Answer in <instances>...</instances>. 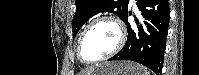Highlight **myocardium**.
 Wrapping results in <instances>:
<instances>
[{
    "mask_svg": "<svg viewBox=\"0 0 199 75\" xmlns=\"http://www.w3.org/2000/svg\"><path fill=\"white\" fill-rule=\"evenodd\" d=\"M101 22L110 23L116 28L117 43H116L115 47L107 54L103 55L102 57H100L96 60L87 61L81 55V47H82L83 40H84L85 36L87 35V33L89 32V30L94 25L101 23ZM125 40H126L125 27L117 17L111 16V15H103V16L96 17L85 27V29L83 30V32L81 33V35L78 39L77 48H76L77 58L83 64H96V63L102 62V61L107 60L110 57L114 56L115 54H117L123 47Z\"/></svg>",
    "mask_w": 199,
    "mask_h": 75,
    "instance_id": "1",
    "label": "myocardium"
}]
</instances>
